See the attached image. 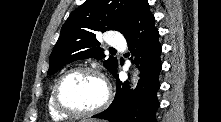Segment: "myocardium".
I'll use <instances>...</instances> for the list:
<instances>
[{
	"label": "myocardium",
	"mask_w": 221,
	"mask_h": 122,
	"mask_svg": "<svg viewBox=\"0 0 221 122\" xmlns=\"http://www.w3.org/2000/svg\"><path fill=\"white\" fill-rule=\"evenodd\" d=\"M81 73H88L95 75L103 82L105 87V96L102 102L98 106L89 110H76L70 108L66 106L61 99V88L64 82L71 76ZM52 96H53L54 106L59 112L72 117H88L103 111L109 105L112 98V91L107 78L100 70L89 66H79L68 70L62 76H60V78L56 81L54 85Z\"/></svg>",
	"instance_id": "obj_1"
}]
</instances>
